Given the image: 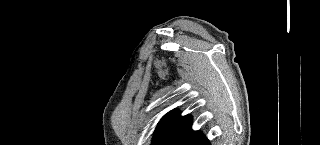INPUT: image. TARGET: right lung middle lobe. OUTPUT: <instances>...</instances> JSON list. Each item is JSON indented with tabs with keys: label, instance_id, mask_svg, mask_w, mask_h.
I'll return each mask as SVG.
<instances>
[{
	"label": "right lung middle lobe",
	"instance_id": "right-lung-middle-lobe-1",
	"mask_svg": "<svg viewBox=\"0 0 320 145\" xmlns=\"http://www.w3.org/2000/svg\"><path fill=\"white\" fill-rule=\"evenodd\" d=\"M172 139L173 136H157L154 137L153 145H168Z\"/></svg>",
	"mask_w": 320,
	"mask_h": 145
}]
</instances>
